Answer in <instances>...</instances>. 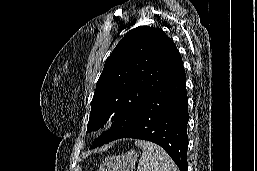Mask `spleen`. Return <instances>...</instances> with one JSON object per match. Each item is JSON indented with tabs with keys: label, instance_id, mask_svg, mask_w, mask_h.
<instances>
[{
	"label": "spleen",
	"instance_id": "obj_1",
	"mask_svg": "<svg viewBox=\"0 0 257 171\" xmlns=\"http://www.w3.org/2000/svg\"><path fill=\"white\" fill-rule=\"evenodd\" d=\"M135 145L143 150L138 171H178L173 160L160 146L143 140L136 141Z\"/></svg>",
	"mask_w": 257,
	"mask_h": 171
}]
</instances>
